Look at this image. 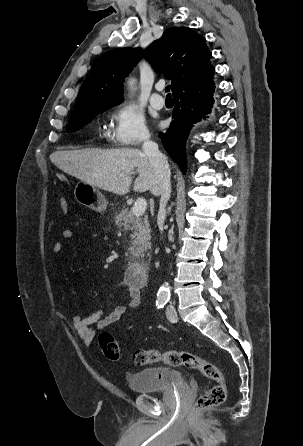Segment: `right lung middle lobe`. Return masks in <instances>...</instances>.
I'll use <instances>...</instances> for the list:
<instances>
[{
	"label": "right lung middle lobe",
	"instance_id": "right-lung-middle-lobe-1",
	"mask_svg": "<svg viewBox=\"0 0 303 446\" xmlns=\"http://www.w3.org/2000/svg\"><path fill=\"white\" fill-rule=\"evenodd\" d=\"M110 107H112V105L101 106V107H97V108L91 109V110L83 112V113L71 115V118H70L69 123L66 128V131L72 132V131L79 130L86 123H89L91 121L92 116L99 114Z\"/></svg>",
	"mask_w": 303,
	"mask_h": 446
}]
</instances>
